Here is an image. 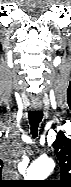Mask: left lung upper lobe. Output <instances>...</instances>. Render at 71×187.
Listing matches in <instances>:
<instances>
[{"instance_id":"obj_1","label":"left lung upper lobe","mask_w":71,"mask_h":187,"mask_svg":"<svg viewBox=\"0 0 71 187\" xmlns=\"http://www.w3.org/2000/svg\"><path fill=\"white\" fill-rule=\"evenodd\" d=\"M56 155L60 162L61 180L56 181L60 186H70L71 184V139L67 138L63 132H58L53 143Z\"/></svg>"}]
</instances>
